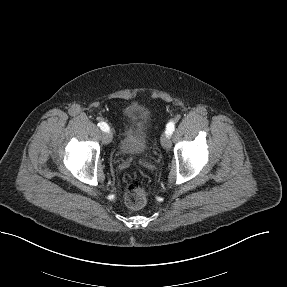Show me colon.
<instances>
[{"instance_id":"1","label":"colon","mask_w":287,"mask_h":287,"mask_svg":"<svg viewBox=\"0 0 287 287\" xmlns=\"http://www.w3.org/2000/svg\"><path fill=\"white\" fill-rule=\"evenodd\" d=\"M147 185L145 179L137 173L130 175L125 191V202L132 209H139L146 202Z\"/></svg>"}]
</instances>
